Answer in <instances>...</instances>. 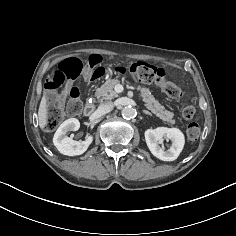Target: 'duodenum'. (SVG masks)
<instances>
[{
	"label": "duodenum",
	"mask_w": 236,
	"mask_h": 236,
	"mask_svg": "<svg viewBox=\"0 0 236 236\" xmlns=\"http://www.w3.org/2000/svg\"><path fill=\"white\" fill-rule=\"evenodd\" d=\"M93 113V105L92 104H88L86 107H85V115L87 117L91 116Z\"/></svg>",
	"instance_id": "obj_1"
}]
</instances>
